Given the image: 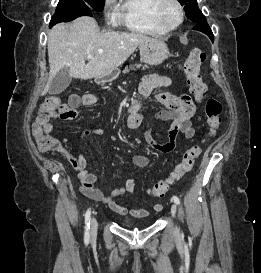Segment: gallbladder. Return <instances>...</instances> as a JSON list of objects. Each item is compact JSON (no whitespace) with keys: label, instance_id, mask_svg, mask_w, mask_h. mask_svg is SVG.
Returning <instances> with one entry per match:
<instances>
[{"label":"gallbladder","instance_id":"obj_1","mask_svg":"<svg viewBox=\"0 0 261 273\" xmlns=\"http://www.w3.org/2000/svg\"><path fill=\"white\" fill-rule=\"evenodd\" d=\"M72 77L69 73V68L64 67L62 68L52 79L50 88H49V94L51 95H57L62 93L71 83Z\"/></svg>","mask_w":261,"mask_h":273}]
</instances>
